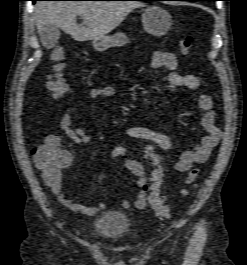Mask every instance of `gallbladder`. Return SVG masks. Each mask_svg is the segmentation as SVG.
<instances>
[{"label": "gallbladder", "instance_id": "bac80fb5", "mask_svg": "<svg viewBox=\"0 0 247 265\" xmlns=\"http://www.w3.org/2000/svg\"><path fill=\"white\" fill-rule=\"evenodd\" d=\"M39 34L43 47L52 49L57 45L61 32L55 25L46 24Z\"/></svg>", "mask_w": 247, "mask_h": 265}]
</instances>
